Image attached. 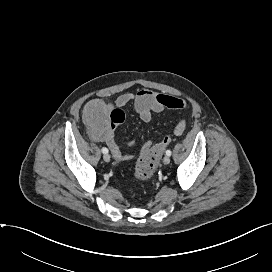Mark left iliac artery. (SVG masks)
<instances>
[{"label":"left iliac artery","instance_id":"obj_1","mask_svg":"<svg viewBox=\"0 0 272 272\" xmlns=\"http://www.w3.org/2000/svg\"><path fill=\"white\" fill-rule=\"evenodd\" d=\"M166 155H167V156H170V155H171V151H170V150H167V151H166Z\"/></svg>","mask_w":272,"mask_h":272}]
</instances>
